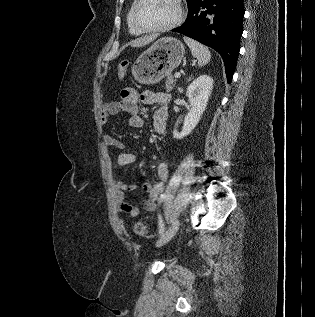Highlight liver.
<instances>
[{
	"label": "liver",
	"instance_id": "obj_1",
	"mask_svg": "<svg viewBox=\"0 0 315 317\" xmlns=\"http://www.w3.org/2000/svg\"><path fill=\"white\" fill-rule=\"evenodd\" d=\"M156 38H157L156 35L140 37V38H137V39L131 41L130 45L132 47H143V46L151 43L152 41H154Z\"/></svg>",
	"mask_w": 315,
	"mask_h": 317
}]
</instances>
